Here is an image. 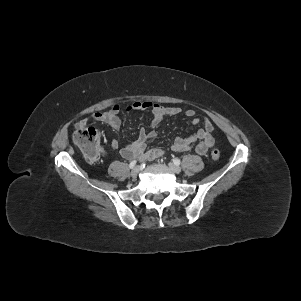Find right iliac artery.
Wrapping results in <instances>:
<instances>
[{
  "label": "right iliac artery",
  "instance_id": "82829eb1",
  "mask_svg": "<svg viewBox=\"0 0 301 301\" xmlns=\"http://www.w3.org/2000/svg\"><path fill=\"white\" fill-rule=\"evenodd\" d=\"M136 163H137V160L131 161L130 164H129L130 169L134 168V166L136 165Z\"/></svg>",
  "mask_w": 301,
  "mask_h": 301
}]
</instances>
